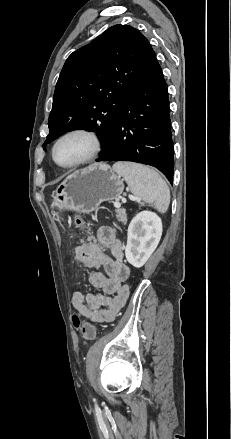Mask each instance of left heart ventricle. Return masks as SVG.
<instances>
[{"mask_svg": "<svg viewBox=\"0 0 231 439\" xmlns=\"http://www.w3.org/2000/svg\"><path fill=\"white\" fill-rule=\"evenodd\" d=\"M92 149L90 139L73 135L62 140L56 149V158L61 164H71L85 157Z\"/></svg>", "mask_w": 231, "mask_h": 439, "instance_id": "obj_1", "label": "left heart ventricle"}]
</instances>
